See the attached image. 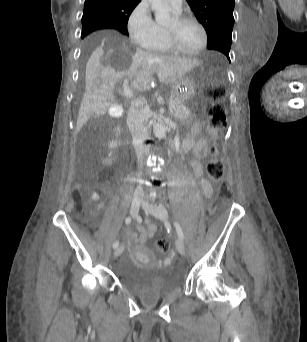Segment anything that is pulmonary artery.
Here are the masks:
<instances>
[{"label":"pulmonary artery","instance_id":"pulmonary-artery-1","mask_svg":"<svg viewBox=\"0 0 307 342\" xmlns=\"http://www.w3.org/2000/svg\"><path fill=\"white\" fill-rule=\"evenodd\" d=\"M175 11L180 12L183 1H166Z\"/></svg>","mask_w":307,"mask_h":342}]
</instances>
